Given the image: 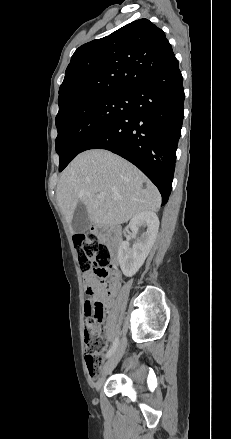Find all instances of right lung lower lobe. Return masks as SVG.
<instances>
[{
  "instance_id": "1",
  "label": "right lung lower lobe",
  "mask_w": 231,
  "mask_h": 439,
  "mask_svg": "<svg viewBox=\"0 0 231 439\" xmlns=\"http://www.w3.org/2000/svg\"><path fill=\"white\" fill-rule=\"evenodd\" d=\"M183 77L178 61L132 94L129 111L82 149H106L137 166L159 189L171 193L176 149L184 117Z\"/></svg>"
}]
</instances>
